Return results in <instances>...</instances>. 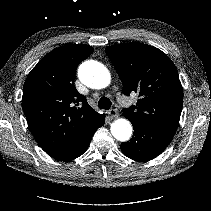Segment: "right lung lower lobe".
Wrapping results in <instances>:
<instances>
[{
  "label": "right lung lower lobe",
  "instance_id": "1",
  "mask_svg": "<svg viewBox=\"0 0 211 211\" xmlns=\"http://www.w3.org/2000/svg\"><path fill=\"white\" fill-rule=\"evenodd\" d=\"M104 118L105 116L93 128H91L83 138L79 139L66 151L54 156V158L61 161H68L81 156L88 149L95 131L104 124Z\"/></svg>",
  "mask_w": 211,
  "mask_h": 211
}]
</instances>
